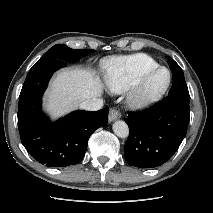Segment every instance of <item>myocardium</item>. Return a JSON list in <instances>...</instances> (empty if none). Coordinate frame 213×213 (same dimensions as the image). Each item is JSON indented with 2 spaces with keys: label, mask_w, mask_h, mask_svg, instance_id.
<instances>
[{
  "label": "myocardium",
  "mask_w": 213,
  "mask_h": 213,
  "mask_svg": "<svg viewBox=\"0 0 213 213\" xmlns=\"http://www.w3.org/2000/svg\"><path fill=\"white\" fill-rule=\"evenodd\" d=\"M167 72L166 83L158 90L148 89L150 80L160 71ZM172 81L171 71L164 66H158L147 72L131 89L127 97V104L133 110L146 109L158 102L168 91Z\"/></svg>",
  "instance_id": "1"
}]
</instances>
